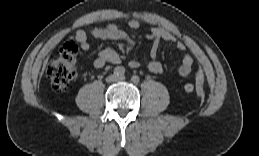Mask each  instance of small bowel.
Segmentation results:
<instances>
[{
	"label": "small bowel",
	"instance_id": "c3829d8e",
	"mask_svg": "<svg viewBox=\"0 0 259 156\" xmlns=\"http://www.w3.org/2000/svg\"><path fill=\"white\" fill-rule=\"evenodd\" d=\"M140 27V23L136 19H130L127 22V28L130 30H137ZM96 39H111V40H122L128 46H134V40L128 34V32L117 24H108L105 27L92 28L89 33L84 30H77L73 36L70 37V42L78 43L83 50H88L90 45L88 42V35ZM146 38L151 42L150 57L151 61L148 63V70L154 74H160L163 72L164 67L162 63L157 59L158 47L161 42H176L178 50H185L186 46L181 41H176V37L167 29L162 27H151ZM121 57L116 50L110 47H106L101 50L94 61L96 68H102L106 64H119ZM194 60L190 54H185L182 58V63L179 67V74L181 76H188L193 69ZM131 68H138L140 63L136 60L129 62Z\"/></svg>",
	"mask_w": 259,
	"mask_h": 156
}]
</instances>
